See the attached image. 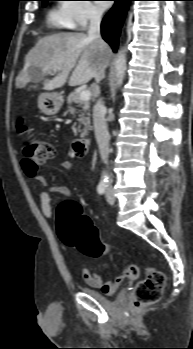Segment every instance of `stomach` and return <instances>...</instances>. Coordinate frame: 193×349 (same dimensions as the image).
<instances>
[{
  "mask_svg": "<svg viewBox=\"0 0 193 349\" xmlns=\"http://www.w3.org/2000/svg\"><path fill=\"white\" fill-rule=\"evenodd\" d=\"M63 104V98L56 92H44L38 97V107L45 115H55Z\"/></svg>",
  "mask_w": 193,
  "mask_h": 349,
  "instance_id": "0dacf381",
  "label": "stomach"
}]
</instances>
